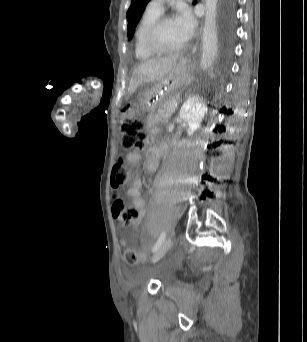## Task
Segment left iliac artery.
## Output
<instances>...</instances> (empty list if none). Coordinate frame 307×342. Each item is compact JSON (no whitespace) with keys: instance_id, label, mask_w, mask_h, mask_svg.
<instances>
[{"instance_id":"left-iliac-artery-1","label":"left iliac artery","mask_w":307,"mask_h":342,"mask_svg":"<svg viewBox=\"0 0 307 342\" xmlns=\"http://www.w3.org/2000/svg\"><path fill=\"white\" fill-rule=\"evenodd\" d=\"M165 237H166V234H165V231H163L152 249L153 252H156L159 249L161 244L164 242Z\"/></svg>"}]
</instances>
